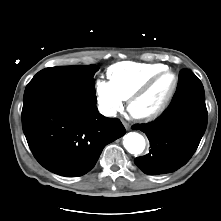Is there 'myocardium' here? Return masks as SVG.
<instances>
[{
	"instance_id": "myocardium-1",
	"label": "myocardium",
	"mask_w": 221,
	"mask_h": 221,
	"mask_svg": "<svg viewBox=\"0 0 221 221\" xmlns=\"http://www.w3.org/2000/svg\"><path fill=\"white\" fill-rule=\"evenodd\" d=\"M171 74L173 76V84L172 87L170 88L166 98L162 102V104L154 111L145 113V114H139L134 112V105L142 99L155 85L156 83L165 75ZM178 86V76L177 74L169 69L165 68L155 75H153L150 79H148L137 91H135L129 98H128V104H127V109L130 113V115L140 121H151L156 118H158L160 115H162L165 110L168 108L169 104L171 103L175 92L177 90Z\"/></svg>"
}]
</instances>
